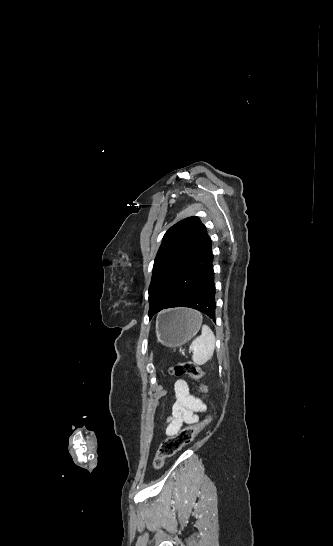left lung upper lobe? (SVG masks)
<instances>
[{
	"instance_id": "left-lung-upper-lobe-1",
	"label": "left lung upper lobe",
	"mask_w": 333,
	"mask_h": 546,
	"mask_svg": "<svg viewBox=\"0 0 333 546\" xmlns=\"http://www.w3.org/2000/svg\"><path fill=\"white\" fill-rule=\"evenodd\" d=\"M207 237V229L198 217H188L172 226L164 235L156 255L149 286V312L152 318L161 311L169 289L182 271L198 256ZM201 263L194 267L200 271ZM194 272V273H195Z\"/></svg>"
}]
</instances>
